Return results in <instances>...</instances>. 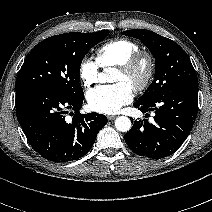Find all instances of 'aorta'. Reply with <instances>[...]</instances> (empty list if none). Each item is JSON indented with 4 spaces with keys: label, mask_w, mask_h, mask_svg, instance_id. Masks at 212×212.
Segmentation results:
<instances>
[{
    "label": "aorta",
    "mask_w": 212,
    "mask_h": 212,
    "mask_svg": "<svg viewBox=\"0 0 212 212\" xmlns=\"http://www.w3.org/2000/svg\"><path fill=\"white\" fill-rule=\"evenodd\" d=\"M99 79L100 81H104V75L103 74L99 75ZM131 126H132L131 120L126 116H119L115 120V127L118 131L127 132L131 129Z\"/></svg>",
    "instance_id": "aorta-1"
}]
</instances>
